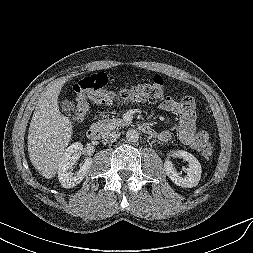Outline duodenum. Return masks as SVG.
I'll use <instances>...</instances> for the list:
<instances>
[{
    "label": "duodenum",
    "mask_w": 253,
    "mask_h": 253,
    "mask_svg": "<svg viewBox=\"0 0 253 253\" xmlns=\"http://www.w3.org/2000/svg\"><path fill=\"white\" fill-rule=\"evenodd\" d=\"M141 130L142 132H144L145 134H148V135H153L154 134V131L153 129L148 126V125H141ZM100 135H101V132H100V129L97 125H91L87 131V137L89 140H98L100 138Z\"/></svg>",
    "instance_id": "1"
}]
</instances>
